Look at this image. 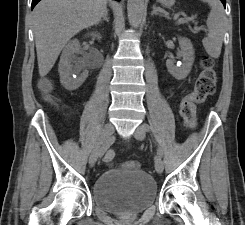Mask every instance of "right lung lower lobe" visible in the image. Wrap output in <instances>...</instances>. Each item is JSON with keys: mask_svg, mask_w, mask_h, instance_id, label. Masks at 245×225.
I'll list each match as a JSON object with an SVG mask.
<instances>
[{"mask_svg": "<svg viewBox=\"0 0 245 225\" xmlns=\"http://www.w3.org/2000/svg\"><path fill=\"white\" fill-rule=\"evenodd\" d=\"M40 0H32V9L35 7V5L39 2Z\"/></svg>", "mask_w": 245, "mask_h": 225, "instance_id": "1", "label": "right lung lower lobe"}]
</instances>
